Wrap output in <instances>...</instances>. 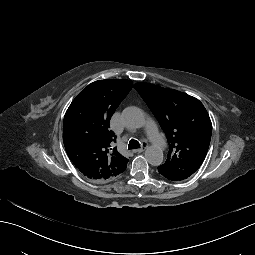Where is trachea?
Wrapping results in <instances>:
<instances>
[{
    "instance_id": "trachea-1",
    "label": "trachea",
    "mask_w": 255,
    "mask_h": 255,
    "mask_svg": "<svg viewBox=\"0 0 255 255\" xmlns=\"http://www.w3.org/2000/svg\"><path fill=\"white\" fill-rule=\"evenodd\" d=\"M128 148L131 150V149H136V148H140V144L138 141L134 140V139H131L130 142H129V146Z\"/></svg>"
}]
</instances>
